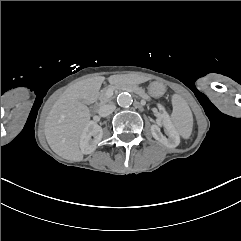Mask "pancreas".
I'll use <instances>...</instances> for the list:
<instances>
[{
	"instance_id": "pancreas-1",
	"label": "pancreas",
	"mask_w": 241,
	"mask_h": 241,
	"mask_svg": "<svg viewBox=\"0 0 241 241\" xmlns=\"http://www.w3.org/2000/svg\"><path fill=\"white\" fill-rule=\"evenodd\" d=\"M130 91L134 92L135 94H139V95L146 97L148 101L152 100V96L149 93H147L146 91H142V90H139L138 88H134V87H131ZM106 92H107V88L103 89L100 93L99 99H100L101 104L108 103L112 100V98H110L106 95Z\"/></svg>"
}]
</instances>
